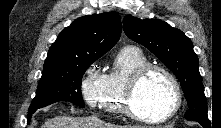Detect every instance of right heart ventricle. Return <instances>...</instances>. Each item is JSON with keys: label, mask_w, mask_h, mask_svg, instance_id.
<instances>
[{"label": "right heart ventricle", "mask_w": 221, "mask_h": 128, "mask_svg": "<svg viewBox=\"0 0 221 128\" xmlns=\"http://www.w3.org/2000/svg\"><path fill=\"white\" fill-rule=\"evenodd\" d=\"M148 64L145 54L135 46L122 48L115 56L99 97L103 112L126 114L124 109L125 91L129 79L140 67Z\"/></svg>", "instance_id": "1"}]
</instances>
